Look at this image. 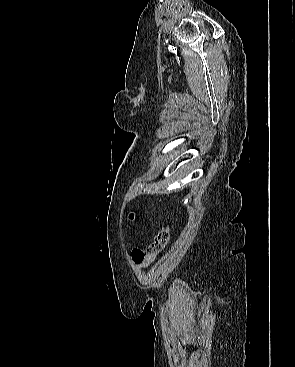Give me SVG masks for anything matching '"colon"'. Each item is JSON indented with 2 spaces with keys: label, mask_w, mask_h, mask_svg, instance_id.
<instances>
[{
  "label": "colon",
  "mask_w": 295,
  "mask_h": 367,
  "mask_svg": "<svg viewBox=\"0 0 295 367\" xmlns=\"http://www.w3.org/2000/svg\"><path fill=\"white\" fill-rule=\"evenodd\" d=\"M170 240V228L168 225L163 227L157 232L152 243L145 249H134L132 252V258L135 263L149 264L157 255H159L167 246Z\"/></svg>",
  "instance_id": "1"
}]
</instances>
